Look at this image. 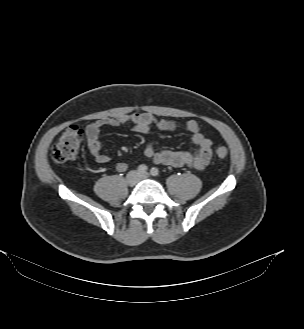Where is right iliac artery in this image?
Returning <instances> with one entry per match:
<instances>
[{
	"instance_id": "82829eb1",
	"label": "right iliac artery",
	"mask_w": 304,
	"mask_h": 329,
	"mask_svg": "<svg viewBox=\"0 0 304 329\" xmlns=\"http://www.w3.org/2000/svg\"><path fill=\"white\" fill-rule=\"evenodd\" d=\"M137 170L139 173H146V171L148 170V167L146 165L142 164V165L138 166Z\"/></svg>"
}]
</instances>
